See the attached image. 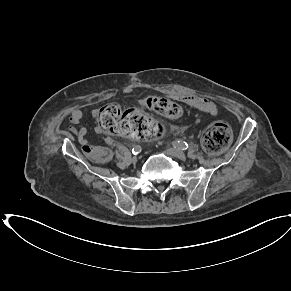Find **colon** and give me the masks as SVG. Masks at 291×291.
<instances>
[{
  "label": "colon",
  "mask_w": 291,
  "mask_h": 291,
  "mask_svg": "<svg viewBox=\"0 0 291 291\" xmlns=\"http://www.w3.org/2000/svg\"><path fill=\"white\" fill-rule=\"evenodd\" d=\"M143 106L150 111L170 118L182 114L180 106L172 100L157 95L144 98ZM99 128L102 131L144 140L156 136L159 124L148 113L139 109L122 110L117 104L102 107L98 114ZM232 132L229 125L222 120L213 122L202 136L204 149L211 154H219L230 145ZM84 153L98 162H105L110 157L108 149L100 146L85 145Z\"/></svg>",
  "instance_id": "colon-1"
}]
</instances>
